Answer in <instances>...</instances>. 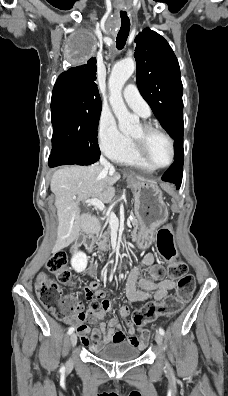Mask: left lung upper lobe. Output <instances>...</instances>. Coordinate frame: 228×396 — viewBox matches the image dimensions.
I'll return each mask as SVG.
<instances>
[{"instance_id":"obj_1","label":"left lung upper lobe","mask_w":228,"mask_h":396,"mask_svg":"<svg viewBox=\"0 0 228 396\" xmlns=\"http://www.w3.org/2000/svg\"><path fill=\"white\" fill-rule=\"evenodd\" d=\"M136 79L142 97L174 139L183 134V86L178 60L168 42L149 28L136 38Z\"/></svg>"}]
</instances>
